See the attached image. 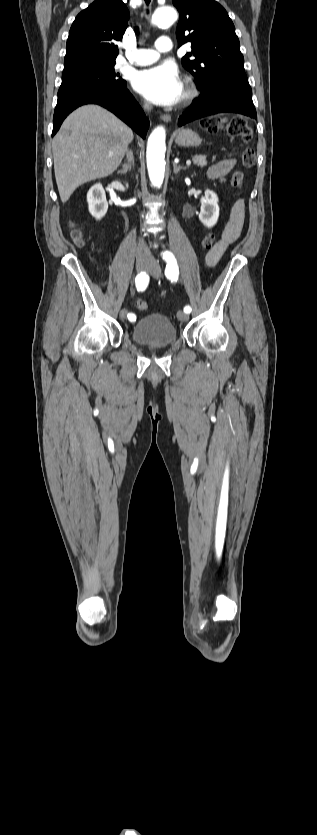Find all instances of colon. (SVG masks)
Listing matches in <instances>:
<instances>
[{
	"mask_svg": "<svg viewBox=\"0 0 317 835\" xmlns=\"http://www.w3.org/2000/svg\"><path fill=\"white\" fill-rule=\"evenodd\" d=\"M201 125L203 129L208 133H218L219 131L225 129L230 136L239 138L246 143L249 142L252 137V131L248 127L246 120L242 117H235L229 121H226L224 118L221 117H208L202 120ZM255 161L256 154L254 149L250 146L245 147L242 154L243 165L245 167H251L254 165ZM244 182V173L242 171H235L231 178L232 188L239 190L243 187ZM71 236L73 240L76 242V244H84V236L80 230L73 228L71 231ZM213 240V235H207L202 242L203 248L209 249L213 244ZM135 304L136 307L142 311H145L148 308V303L142 299H137Z\"/></svg>",
	"mask_w": 317,
	"mask_h": 835,
	"instance_id": "5ec220e1",
	"label": "colon"
}]
</instances>
